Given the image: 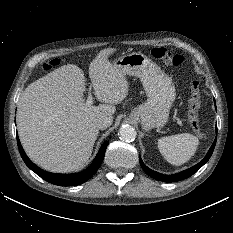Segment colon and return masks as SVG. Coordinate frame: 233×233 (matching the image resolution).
I'll return each mask as SVG.
<instances>
[{"instance_id": "5ec220e1", "label": "colon", "mask_w": 233, "mask_h": 233, "mask_svg": "<svg viewBox=\"0 0 233 233\" xmlns=\"http://www.w3.org/2000/svg\"><path fill=\"white\" fill-rule=\"evenodd\" d=\"M151 55L165 64L174 67H183V73L190 81V98L188 102V119L192 130L201 135L202 129L199 120V111L201 107V96L199 82L190 67L184 66L185 58L182 55L174 54L164 47H155L151 50ZM59 65L58 59H52L43 64V69L49 71Z\"/></svg>"}]
</instances>
